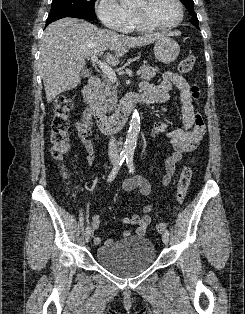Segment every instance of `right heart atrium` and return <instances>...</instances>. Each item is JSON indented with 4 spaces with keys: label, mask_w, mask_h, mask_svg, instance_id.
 <instances>
[{
    "label": "right heart atrium",
    "mask_w": 245,
    "mask_h": 314,
    "mask_svg": "<svg viewBox=\"0 0 245 314\" xmlns=\"http://www.w3.org/2000/svg\"><path fill=\"white\" fill-rule=\"evenodd\" d=\"M95 11L107 28L123 31L130 21V11L117 0H96Z\"/></svg>",
    "instance_id": "1"
}]
</instances>
